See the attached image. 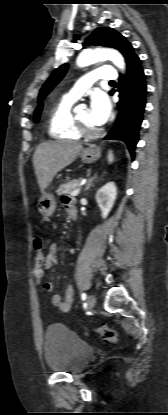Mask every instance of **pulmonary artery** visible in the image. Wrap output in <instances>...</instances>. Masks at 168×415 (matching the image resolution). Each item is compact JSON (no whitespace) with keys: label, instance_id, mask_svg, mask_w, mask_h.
<instances>
[{"label":"pulmonary artery","instance_id":"pulmonary-artery-1","mask_svg":"<svg viewBox=\"0 0 168 415\" xmlns=\"http://www.w3.org/2000/svg\"><path fill=\"white\" fill-rule=\"evenodd\" d=\"M117 77L118 75L114 67L110 65L101 66L79 79L69 90L66 96L78 99L97 80L101 79L110 82L115 81Z\"/></svg>","mask_w":168,"mask_h":415}]
</instances>
